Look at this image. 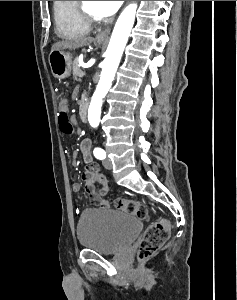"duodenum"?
I'll return each instance as SVG.
<instances>
[{"label": "duodenum", "instance_id": "duodenum-1", "mask_svg": "<svg viewBox=\"0 0 237 300\" xmlns=\"http://www.w3.org/2000/svg\"><path fill=\"white\" fill-rule=\"evenodd\" d=\"M87 103L85 101H81L79 105V116L82 122H86L87 120Z\"/></svg>", "mask_w": 237, "mask_h": 300}]
</instances>
